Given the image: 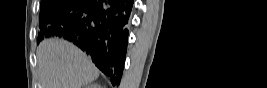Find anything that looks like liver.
<instances>
[{"label":"liver","mask_w":267,"mask_h":88,"mask_svg":"<svg viewBox=\"0 0 267 88\" xmlns=\"http://www.w3.org/2000/svg\"><path fill=\"white\" fill-rule=\"evenodd\" d=\"M36 55L41 88H82L99 76L91 60L63 39L43 40Z\"/></svg>","instance_id":"6515ba94"}]
</instances>
